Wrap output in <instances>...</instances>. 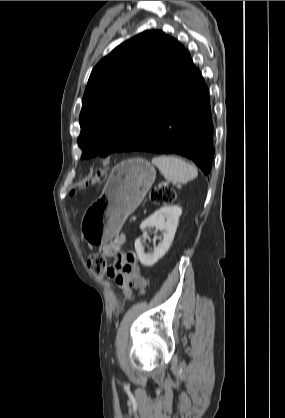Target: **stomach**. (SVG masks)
Returning a JSON list of instances; mask_svg holds the SVG:
<instances>
[{"instance_id": "stomach-1", "label": "stomach", "mask_w": 285, "mask_h": 418, "mask_svg": "<svg viewBox=\"0 0 285 418\" xmlns=\"http://www.w3.org/2000/svg\"><path fill=\"white\" fill-rule=\"evenodd\" d=\"M156 177L154 167L145 159L131 158L117 164L102 195L85 212L81 234L91 244L109 241L135 211Z\"/></svg>"}]
</instances>
